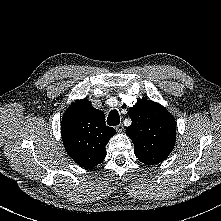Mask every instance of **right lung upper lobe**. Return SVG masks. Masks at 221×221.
<instances>
[{
	"label": "right lung upper lobe",
	"instance_id": "obj_1",
	"mask_svg": "<svg viewBox=\"0 0 221 221\" xmlns=\"http://www.w3.org/2000/svg\"><path fill=\"white\" fill-rule=\"evenodd\" d=\"M116 133L105 115L87 99L72 103L63 115L61 135L67 154L80 166L93 168L106 157L105 146Z\"/></svg>",
	"mask_w": 221,
	"mask_h": 221
}]
</instances>
